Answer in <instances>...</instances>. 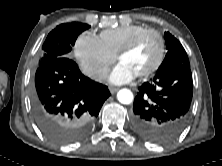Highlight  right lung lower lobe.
<instances>
[{
    "instance_id": "right-lung-lower-lobe-1",
    "label": "right lung lower lobe",
    "mask_w": 222,
    "mask_h": 166,
    "mask_svg": "<svg viewBox=\"0 0 222 166\" xmlns=\"http://www.w3.org/2000/svg\"><path fill=\"white\" fill-rule=\"evenodd\" d=\"M109 96L107 86L85 77L65 56L39 66L31 102L42 132L57 143L68 144L86 134Z\"/></svg>"
}]
</instances>
